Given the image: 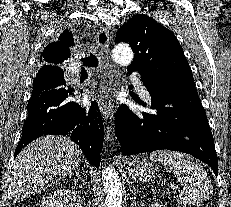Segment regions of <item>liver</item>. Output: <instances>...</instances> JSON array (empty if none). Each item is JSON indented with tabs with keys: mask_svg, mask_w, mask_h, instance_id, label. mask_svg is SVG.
Listing matches in <instances>:
<instances>
[{
	"mask_svg": "<svg viewBox=\"0 0 231 207\" xmlns=\"http://www.w3.org/2000/svg\"><path fill=\"white\" fill-rule=\"evenodd\" d=\"M82 151L70 138L47 135L25 147L11 172V195L15 200L47 189L79 166Z\"/></svg>",
	"mask_w": 231,
	"mask_h": 207,
	"instance_id": "obj_1",
	"label": "liver"
}]
</instances>
